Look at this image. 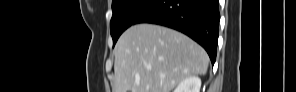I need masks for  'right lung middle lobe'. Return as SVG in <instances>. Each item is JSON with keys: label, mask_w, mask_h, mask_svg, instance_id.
Instances as JSON below:
<instances>
[{"label": "right lung middle lobe", "mask_w": 296, "mask_h": 92, "mask_svg": "<svg viewBox=\"0 0 296 92\" xmlns=\"http://www.w3.org/2000/svg\"><path fill=\"white\" fill-rule=\"evenodd\" d=\"M156 0H113V16L110 21V31L113 45L117 39L135 20Z\"/></svg>", "instance_id": "obj_1"}]
</instances>
